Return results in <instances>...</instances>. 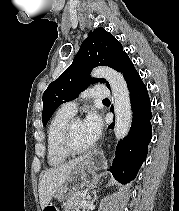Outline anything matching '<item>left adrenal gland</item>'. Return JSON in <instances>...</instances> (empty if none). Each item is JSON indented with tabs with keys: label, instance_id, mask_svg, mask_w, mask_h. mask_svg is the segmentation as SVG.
Instances as JSON below:
<instances>
[{
	"label": "left adrenal gland",
	"instance_id": "obj_1",
	"mask_svg": "<svg viewBox=\"0 0 179 211\" xmlns=\"http://www.w3.org/2000/svg\"><path fill=\"white\" fill-rule=\"evenodd\" d=\"M93 187H90V190L92 189ZM94 194V198H96V191L93 192ZM94 200V199H93Z\"/></svg>",
	"mask_w": 179,
	"mask_h": 211
}]
</instances>
